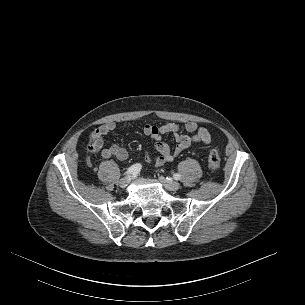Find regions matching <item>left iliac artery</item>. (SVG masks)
Segmentation results:
<instances>
[{"mask_svg": "<svg viewBox=\"0 0 305 305\" xmlns=\"http://www.w3.org/2000/svg\"><path fill=\"white\" fill-rule=\"evenodd\" d=\"M173 177L175 180H179L181 176H180V174L176 173L173 175Z\"/></svg>", "mask_w": 305, "mask_h": 305, "instance_id": "44dca946", "label": "left iliac artery"}]
</instances>
